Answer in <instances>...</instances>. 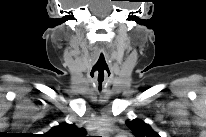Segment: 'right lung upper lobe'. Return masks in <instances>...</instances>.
Listing matches in <instances>:
<instances>
[{"label":"right lung upper lobe","instance_id":"obj_1","mask_svg":"<svg viewBox=\"0 0 206 137\" xmlns=\"http://www.w3.org/2000/svg\"><path fill=\"white\" fill-rule=\"evenodd\" d=\"M80 129L73 124L63 123L58 126L52 127L47 133L51 137H74L79 134Z\"/></svg>","mask_w":206,"mask_h":137}]
</instances>
